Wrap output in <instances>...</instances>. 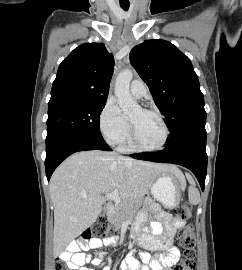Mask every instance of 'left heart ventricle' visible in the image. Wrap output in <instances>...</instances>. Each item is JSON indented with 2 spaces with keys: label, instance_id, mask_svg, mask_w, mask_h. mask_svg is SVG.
I'll list each match as a JSON object with an SVG mask.
<instances>
[{
  "label": "left heart ventricle",
  "instance_id": "1",
  "mask_svg": "<svg viewBox=\"0 0 242 270\" xmlns=\"http://www.w3.org/2000/svg\"><path fill=\"white\" fill-rule=\"evenodd\" d=\"M129 118L136 128L140 144L146 147H153L161 143L164 132L158 117L137 109Z\"/></svg>",
  "mask_w": 242,
  "mask_h": 270
}]
</instances>
